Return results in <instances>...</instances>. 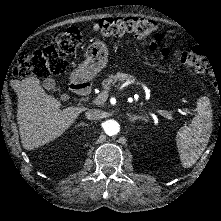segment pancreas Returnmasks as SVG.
I'll list each match as a JSON object with an SVG mask.
<instances>
[{"label":"pancreas","instance_id":"obj_1","mask_svg":"<svg viewBox=\"0 0 221 221\" xmlns=\"http://www.w3.org/2000/svg\"><path fill=\"white\" fill-rule=\"evenodd\" d=\"M128 81V75L126 73L117 72L116 74L110 73L102 82V89L110 92L115 83L123 84Z\"/></svg>","mask_w":221,"mask_h":221}]
</instances>
